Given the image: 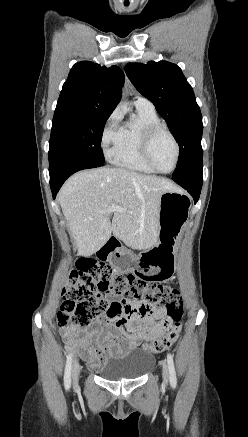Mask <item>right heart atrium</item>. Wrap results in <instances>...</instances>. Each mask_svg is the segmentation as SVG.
<instances>
[{"mask_svg":"<svg viewBox=\"0 0 248 437\" xmlns=\"http://www.w3.org/2000/svg\"><path fill=\"white\" fill-rule=\"evenodd\" d=\"M120 112L114 110L106 119L101 131V147L107 156H111L120 135Z\"/></svg>","mask_w":248,"mask_h":437,"instance_id":"d8ad5b80","label":"right heart atrium"}]
</instances>
